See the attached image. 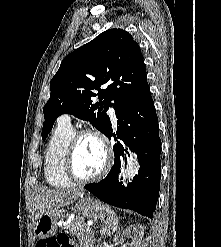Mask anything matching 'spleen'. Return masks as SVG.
<instances>
[{
	"instance_id": "obj_1",
	"label": "spleen",
	"mask_w": 221,
	"mask_h": 247,
	"mask_svg": "<svg viewBox=\"0 0 221 247\" xmlns=\"http://www.w3.org/2000/svg\"><path fill=\"white\" fill-rule=\"evenodd\" d=\"M118 228V219L116 217V214L113 210H111L109 207L107 208V220L105 221V224L103 225L101 229V234H111L113 232H116Z\"/></svg>"
}]
</instances>
